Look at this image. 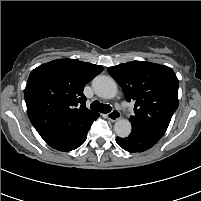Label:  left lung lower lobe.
I'll return each instance as SVG.
<instances>
[{
	"instance_id": "1",
	"label": "left lung lower lobe",
	"mask_w": 201,
	"mask_h": 201,
	"mask_svg": "<svg viewBox=\"0 0 201 201\" xmlns=\"http://www.w3.org/2000/svg\"><path fill=\"white\" fill-rule=\"evenodd\" d=\"M165 131L153 128L132 127V133L126 138H116L117 144L128 152H143L154 146Z\"/></svg>"
}]
</instances>
